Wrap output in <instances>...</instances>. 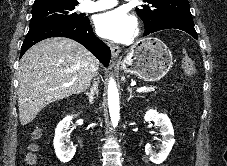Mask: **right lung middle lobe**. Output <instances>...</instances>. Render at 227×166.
Masks as SVG:
<instances>
[{
    "instance_id": "dd1d6c3e",
    "label": "right lung middle lobe",
    "mask_w": 227,
    "mask_h": 166,
    "mask_svg": "<svg viewBox=\"0 0 227 166\" xmlns=\"http://www.w3.org/2000/svg\"><path fill=\"white\" fill-rule=\"evenodd\" d=\"M78 4L51 2L33 5L30 28L52 21L82 23L87 18L74 12Z\"/></svg>"
}]
</instances>
